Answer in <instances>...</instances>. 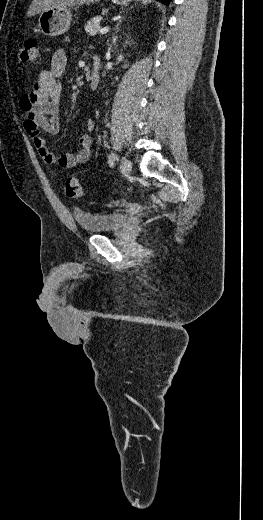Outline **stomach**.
Here are the masks:
<instances>
[{
    "mask_svg": "<svg viewBox=\"0 0 263 520\" xmlns=\"http://www.w3.org/2000/svg\"><path fill=\"white\" fill-rule=\"evenodd\" d=\"M131 0H112L114 4L126 5ZM72 20L71 12L68 8H51L39 15L38 28L49 37H56L64 34L70 27Z\"/></svg>",
    "mask_w": 263,
    "mask_h": 520,
    "instance_id": "stomach-1",
    "label": "stomach"
}]
</instances>
